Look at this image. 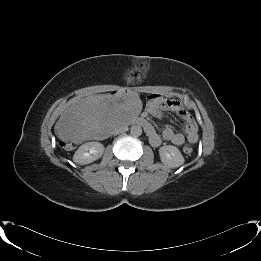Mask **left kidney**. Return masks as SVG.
<instances>
[{"label":"left kidney","mask_w":261,"mask_h":261,"mask_svg":"<svg viewBox=\"0 0 261 261\" xmlns=\"http://www.w3.org/2000/svg\"><path fill=\"white\" fill-rule=\"evenodd\" d=\"M161 162L169 168H177L184 164V157L180 150L173 145L162 146L159 149Z\"/></svg>","instance_id":"5707ae66"}]
</instances>
